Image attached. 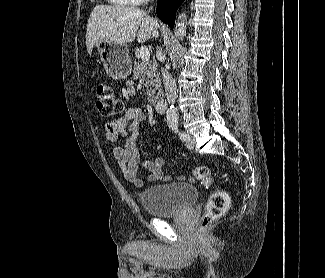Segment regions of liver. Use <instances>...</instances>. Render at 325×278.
I'll use <instances>...</instances> for the list:
<instances>
[{"label":"liver","mask_w":325,"mask_h":278,"mask_svg":"<svg viewBox=\"0 0 325 278\" xmlns=\"http://www.w3.org/2000/svg\"><path fill=\"white\" fill-rule=\"evenodd\" d=\"M158 27V22L139 8L97 5L87 23V51L91 54L95 44L103 40L124 44L137 36L139 42H145Z\"/></svg>","instance_id":"1"}]
</instances>
